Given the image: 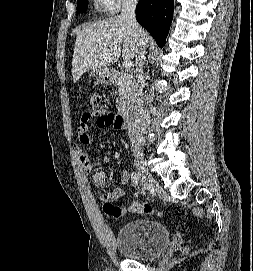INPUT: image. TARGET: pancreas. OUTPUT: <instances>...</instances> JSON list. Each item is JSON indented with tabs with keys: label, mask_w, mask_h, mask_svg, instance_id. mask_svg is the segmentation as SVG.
Masks as SVG:
<instances>
[{
	"label": "pancreas",
	"mask_w": 253,
	"mask_h": 271,
	"mask_svg": "<svg viewBox=\"0 0 253 271\" xmlns=\"http://www.w3.org/2000/svg\"><path fill=\"white\" fill-rule=\"evenodd\" d=\"M118 87L119 97L117 98L118 110H123L130 101L134 87V78L131 72L120 73L115 80Z\"/></svg>",
	"instance_id": "1"
}]
</instances>
